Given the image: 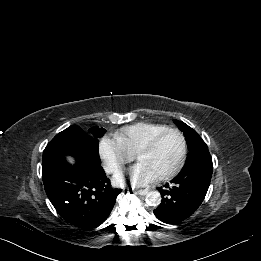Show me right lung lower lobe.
<instances>
[{
	"label": "right lung lower lobe",
	"instance_id": "98d812e1",
	"mask_svg": "<svg viewBox=\"0 0 261 261\" xmlns=\"http://www.w3.org/2000/svg\"><path fill=\"white\" fill-rule=\"evenodd\" d=\"M77 160H65L49 171L42 167L46 194L57 212L69 223L91 229L109 216L121 189H112L101 163L92 158L81 139L70 152Z\"/></svg>",
	"mask_w": 261,
	"mask_h": 261
}]
</instances>
